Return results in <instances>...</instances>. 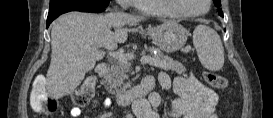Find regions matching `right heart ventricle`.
<instances>
[{
    "label": "right heart ventricle",
    "instance_id": "right-heart-ventricle-1",
    "mask_svg": "<svg viewBox=\"0 0 273 118\" xmlns=\"http://www.w3.org/2000/svg\"><path fill=\"white\" fill-rule=\"evenodd\" d=\"M141 11L155 13L166 16H177V14L168 8L162 0H147L136 2Z\"/></svg>",
    "mask_w": 273,
    "mask_h": 118
}]
</instances>
